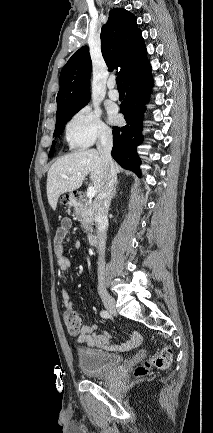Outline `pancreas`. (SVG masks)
<instances>
[{"instance_id":"obj_1","label":"pancreas","mask_w":213,"mask_h":433,"mask_svg":"<svg viewBox=\"0 0 213 433\" xmlns=\"http://www.w3.org/2000/svg\"><path fill=\"white\" fill-rule=\"evenodd\" d=\"M74 210L76 217L81 223V227L90 236L93 231L92 225L94 222V209L92 205L84 201H78L74 203Z\"/></svg>"}]
</instances>
